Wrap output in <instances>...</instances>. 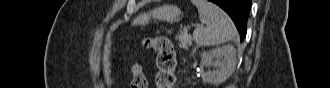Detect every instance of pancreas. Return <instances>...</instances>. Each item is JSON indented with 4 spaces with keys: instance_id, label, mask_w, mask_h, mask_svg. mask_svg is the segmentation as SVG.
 I'll use <instances>...</instances> for the list:
<instances>
[{
    "instance_id": "pancreas-1",
    "label": "pancreas",
    "mask_w": 330,
    "mask_h": 88,
    "mask_svg": "<svg viewBox=\"0 0 330 88\" xmlns=\"http://www.w3.org/2000/svg\"><path fill=\"white\" fill-rule=\"evenodd\" d=\"M176 39L178 40L179 47L185 50H188L189 47L192 45L191 35L186 32L180 31L176 36Z\"/></svg>"
}]
</instances>
